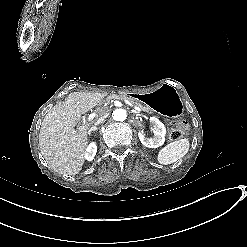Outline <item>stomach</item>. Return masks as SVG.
<instances>
[{
	"instance_id": "1",
	"label": "stomach",
	"mask_w": 247,
	"mask_h": 247,
	"mask_svg": "<svg viewBox=\"0 0 247 247\" xmlns=\"http://www.w3.org/2000/svg\"><path fill=\"white\" fill-rule=\"evenodd\" d=\"M142 103L150 106L155 112L166 117H179L183 112V103L175 89L169 85L159 86L157 89L132 95Z\"/></svg>"
}]
</instances>
